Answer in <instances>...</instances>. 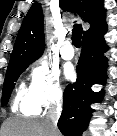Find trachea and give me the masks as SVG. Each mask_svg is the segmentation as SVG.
Instances as JSON below:
<instances>
[{
  "mask_svg": "<svg viewBox=\"0 0 117 136\" xmlns=\"http://www.w3.org/2000/svg\"><path fill=\"white\" fill-rule=\"evenodd\" d=\"M82 26L80 24H74L73 30H72V44L76 48H80L81 46V37H82Z\"/></svg>",
  "mask_w": 117,
  "mask_h": 136,
  "instance_id": "1",
  "label": "trachea"
}]
</instances>
